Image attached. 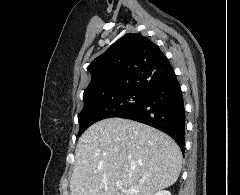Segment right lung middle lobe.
<instances>
[{
    "mask_svg": "<svg viewBox=\"0 0 240 195\" xmlns=\"http://www.w3.org/2000/svg\"><path fill=\"white\" fill-rule=\"evenodd\" d=\"M146 93V91L126 89L98 98L84 99V107L78 118L80 124L78 136L97 121L118 117L137 107L144 100Z\"/></svg>",
    "mask_w": 240,
    "mask_h": 195,
    "instance_id": "right-lung-middle-lobe-1",
    "label": "right lung middle lobe"
}]
</instances>
